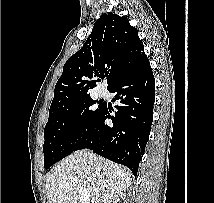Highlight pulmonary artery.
<instances>
[{
    "label": "pulmonary artery",
    "instance_id": "pulmonary-artery-1",
    "mask_svg": "<svg viewBox=\"0 0 214 203\" xmlns=\"http://www.w3.org/2000/svg\"><path fill=\"white\" fill-rule=\"evenodd\" d=\"M99 95H100V96H104V95H105L104 89H100V90H99Z\"/></svg>",
    "mask_w": 214,
    "mask_h": 203
}]
</instances>
